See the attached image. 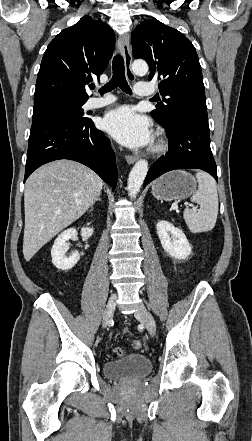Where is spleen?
I'll use <instances>...</instances> for the list:
<instances>
[{
  "mask_svg": "<svg viewBox=\"0 0 252 441\" xmlns=\"http://www.w3.org/2000/svg\"><path fill=\"white\" fill-rule=\"evenodd\" d=\"M198 189L191 200L200 205L198 211L186 208L183 216L192 233L207 232L214 228L218 215V194L216 182L212 176L197 171Z\"/></svg>",
  "mask_w": 252,
  "mask_h": 441,
  "instance_id": "spleen-1",
  "label": "spleen"
}]
</instances>
